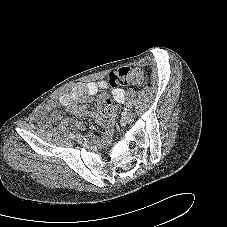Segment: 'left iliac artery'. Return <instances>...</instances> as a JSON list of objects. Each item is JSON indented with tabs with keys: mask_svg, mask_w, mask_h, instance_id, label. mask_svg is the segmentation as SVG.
I'll use <instances>...</instances> for the list:
<instances>
[{
	"mask_svg": "<svg viewBox=\"0 0 227 227\" xmlns=\"http://www.w3.org/2000/svg\"><path fill=\"white\" fill-rule=\"evenodd\" d=\"M131 108H132L131 103H130V102H127V103H126V108H125V110H131Z\"/></svg>",
	"mask_w": 227,
	"mask_h": 227,
	"instance_id": "44dca946",
	"label": "left iliac artery"
}]
</instances>
